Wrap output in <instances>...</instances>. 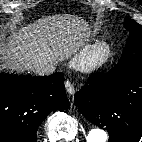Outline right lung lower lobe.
<instances>
[{
  "label": "right lung lower lobe",
  "mask_w": 142,
  "mask_h": 142,
  "mask_svg": "<svg viewBox=\"0 0 142 142\" xmlns=\"http://www.w3.org/2000/svg\"><path fill=\"white\" fill-rule=\"evenodd\" d=\"M64 76L0 74V142H36L37 129L56 109H67Z\"/></svg>",
  "instance_id": "right-lung-lower-lobe-1"
}]
</instances>
